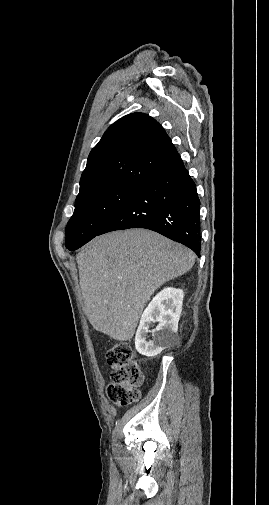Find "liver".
Wrapping results in <instances>:
<instances>
[{
    "label": "liver",
    "mask_w": 269,
    "mask_h": 505,
    "mask_svg": "<svg viewBox=\"0 0 269 505\" xmlns=\"http://www.w3.org/2000/svg\"><path fill=\"white\" fill-rule=\"evenodd\" d=\"M195 258L189 248L145 229L94 238L76 256L89 322L113 339L130 340L155 290L189 271Z\"/></svg>",
    "instance_id": "obj_1"
}]
</instances>
